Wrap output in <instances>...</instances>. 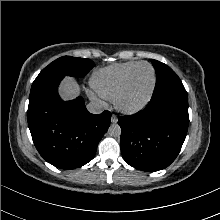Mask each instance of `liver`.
<instances>
[{
  "instance_id": "obj_1",
  "label": "liver",
  "mask_w": 220,
  "mask_h": 220,
  "mask_svg": "<svg viewBox=\"0 0 220 220\" xmlns=\"http://www.w3.org/2000/svg\"><path fill=\"white\" fill-rule=\"evenodd\" d=\"M80 92L79 85L70 77H66L59 88V93L62 99L70 100L75 98Z\"/></svg>"
}]
</instances>
